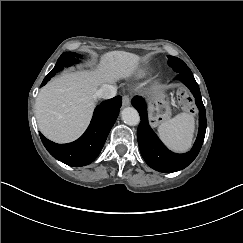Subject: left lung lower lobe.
I'll return each instance as SVG.
<instances>
[{"label": "left lung lower lobe", "mask_w": 243, "mask_h": 243, "mask_svg": "<svg viewBox=\"0 0 243 243\" xmlns=\"http://www.w3.org/2000/svg\"><path fill=\"white\" fill-rule=\"evenodd\" d=\"M180 79L192 92L196 105L199 108V132L191 151L176 154L168 150L159 140L148 124L146 103L140 96H135L131 103L140 114L141 122L137 130V139L140 152L145 162L159 172L171 173L187 167L198 155L206 132V112L203 105L199 86L192 72H177Z\"/></svg>", "instance_id": "obj_1"}]
</instances>
